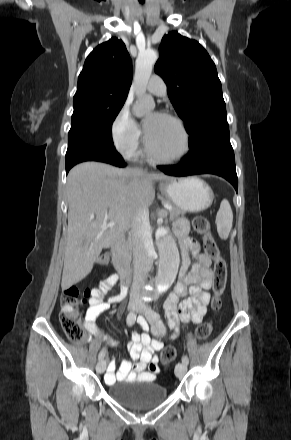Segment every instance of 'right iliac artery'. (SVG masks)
Here are the masks:
<instances>
[{
    "label": "right iliac artery",
    "mask_w": 291,
    "mask_h": 440,
    "mask_svg": "<svg viewBox=\"0 0 291 440\" xmlns=\"http://www.w3.org/2000/svg\"><path fill=\"white\" fill-rule=\"evenodd\" d=\"M135 320H136V315H135V313H134V312H130V313L127 315L126 323H127L128 326H131V325H133V324L135 323ZM105 353H106V350H105V348H103V349L100 351L99 355H98V359H99V360L103 359V358L105 357Z\"/></svg>",
    "instance_id": "right-iliac-artery-1"
}]
</instances>
